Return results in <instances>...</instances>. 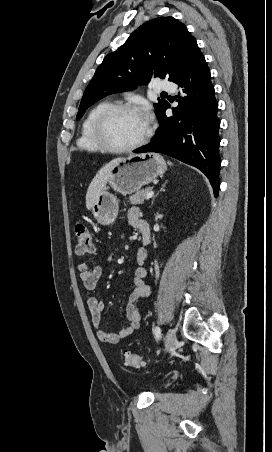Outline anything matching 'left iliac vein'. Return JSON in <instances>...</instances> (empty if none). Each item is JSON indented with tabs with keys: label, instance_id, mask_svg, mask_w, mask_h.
Here are the masks:
<instances>
[{
	"label": "left iliac vein",
	"instance_id": "1",
	"mask_svg": "<svg viewBox=\"0 0 272 452\" xmlns=\"http://www.w3.org/2000/svg\"><path fill=\"white\" fill-rule=\"evenodd\" d=\"M176 342V333L174 329H168L166 334V348L165 352H169V350L175 345Z\"/></svg>",
	"mask_w": 272,
	"mask_h": 452
}]
</instances>
